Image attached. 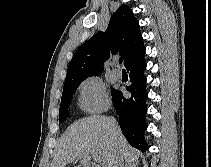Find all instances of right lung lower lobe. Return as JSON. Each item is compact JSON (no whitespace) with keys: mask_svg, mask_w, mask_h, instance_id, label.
Listing matches in <instances>:
<instances>
[{"mask_svg":"<svg viewBox=\"0 0 211 167\" xmlns=\"http://www.w3.org/2000/svg\"><path fill=\"white\" fill-rule=\"evenodd\" d=\"M144 56L129 65L126 69L129 73L131 84L127 87L131 97H124L121 91L115 90L112 94V101L117 114L119 115L120 128L129 144L139 150L148 149L144 139V132L147 129L146 99V69Z\"/></svg>","mask_w":211,"mask_h":167,"instance_id":"1","label":"right lung lower lobe"}]
</instances>
